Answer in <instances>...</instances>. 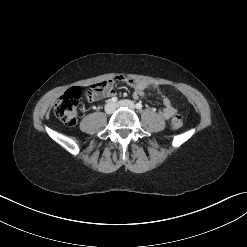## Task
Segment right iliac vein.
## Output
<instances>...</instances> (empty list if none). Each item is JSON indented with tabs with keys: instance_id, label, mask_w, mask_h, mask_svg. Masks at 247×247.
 I'll use <instances>...</instances> for the list:
<instances>
[{
	"instance_id": "63e3f726",
	"label": "right iliac vein",
	"mask_w": 247,
	"mask_h": 247,
	"mask_svg": "<svg viewBox=\"0 0 247 247\" xmlns=\"http://www.w3.org/2000/svg\"><path fill=\"white\" fill-rule=\"evenodd\" d=\"M115 104L114 103H108L106 106H105V112L107 114H112L114 111H115Z\"/></svg>"
}]
</instances>
